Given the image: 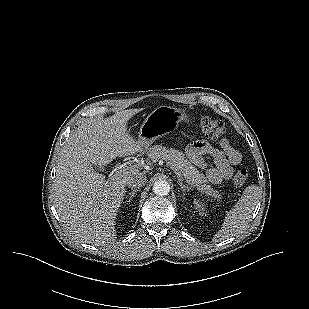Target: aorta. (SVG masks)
Returning <instances> with one entry per match:
<instances>
[{
	"label": "aorta",
	"mask_w": 309,
	"mask_h": 309,
	"mask_svg": "<svg viewBox=\"0 0 309 309\" xmlns=\"http://www.w3.org/2000/svg\"><path fill=\"white\" fill-rule=\"evenodd\" d=\"M153 192L158 196H165L170 191V186L166 181H157L153 185Z\"/></svg>",
	"instance_id": "762f6f07"
}]
</instances>
